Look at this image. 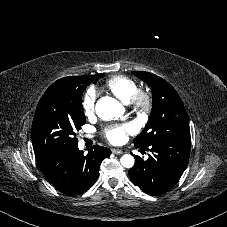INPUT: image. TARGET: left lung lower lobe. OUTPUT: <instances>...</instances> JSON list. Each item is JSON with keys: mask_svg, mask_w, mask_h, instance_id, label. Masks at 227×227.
Returning a JSON list of instances; mask_svg holds the SVG:
<instances>
[{"mask_svg": "<svg viewBox=\"0 0 227 227\" xmlns=\"http://www.w3.org/2000/svg\"><path fill=\"white\" fill-rule=\"evenodd\" d=\"M149 150L147 160L134 155L135 165L129 170L133 184L145 193L157 196L168 192L182 176L189 160L191 139L161 141L149 146H137Z\"/></svg>", "mask_w": 227, "mask_h": 227, "instance_id": "left-lung-lower-lobe-1", "label": "left lung lower lobe"}]
</instances>
